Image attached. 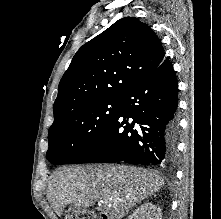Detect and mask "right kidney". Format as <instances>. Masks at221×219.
Wrapping results in <instances>:
<instances>
[{"instance_id": "1", "label": "right kidney", "mask_w": 221, "mask_h": 219, "mask_svg": "<svg viewBox=\"0 0 221 219\" xmlns=\"http://www.w3.org/2000/svg\"><path fill=\"white\" fill-rule=\"evenodd\" d=\"M128 219H162L161 209L151 202H146L141 204Z\"/></svg>"}]
</instances>
